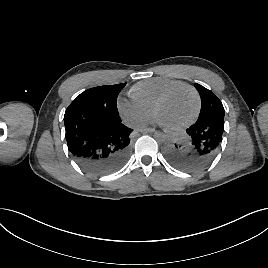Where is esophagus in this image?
Instances as JSON below:
<instances>
[{
    "label": "esophagus",
    "mask_w": 268,
    "mask_h": 268,
    "mask_svg": "<svg viewBox=\"0 0 268 268\" xmlns=\"http://www.w3.org/2000/svg\"><path fill=\"white\" fill-rule=\"evenodd\" d=\"M139 131L142 133H154V132H156L153 128H142V129H139Z\"/></svg>",
    "instance_id": "34e87169"
}]
</instances>
